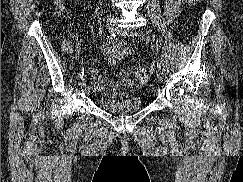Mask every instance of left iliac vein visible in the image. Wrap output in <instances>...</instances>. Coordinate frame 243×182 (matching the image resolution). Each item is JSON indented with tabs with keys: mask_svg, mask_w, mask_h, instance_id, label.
I'll list each match as a JSON object with an SVG mask.
<instances>
[{
	"mask_svg": "<svg viewBox=\"0 0 243 182\" xmlns=\"http://www.w3.org/2000/svg\"><path fill=\"white\" fill-rule=\"evenodd\" d=\"M117 33H119L122 36H133L134 32L132 29L130 28H116ZM162 79V72L161 70L158 69L157 73H156V80L157 82H159Z\"/></svg>",
	"mask_w": 243,
	"mask_h": 182,
	"instance_id": "1",
	"label": "left iliac vein"
}]
</instances>
